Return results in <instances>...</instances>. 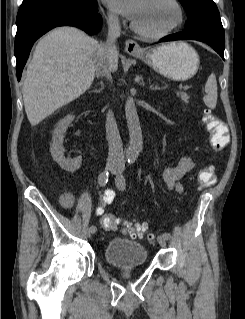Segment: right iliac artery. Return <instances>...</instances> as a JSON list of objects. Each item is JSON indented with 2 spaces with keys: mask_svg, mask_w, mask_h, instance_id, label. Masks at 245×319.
Listing matches in <instances>:
<instances>
[{
  "mask_svg": "<svg viewBox=\"0 0 245 319\" xmlns=\"http://www.w3.org/2000/svg\"><path fill=\"white\" fill-rule=\"evenodd\" d=\"M108 178H109V172L108 171H104L102 172L99 177H98V182L100 184V186H105L106 183L108 182ZM113 194V191H110V190H106L105 191V196H104V199H106L108 202H112L113 198H114V195ZM91 231L93 233H95L97 231L96 227L95 226H91L90 227Z\"/></svg>",
  "mask_w": 245,
  "mask_h": 319,
  "instance_id": "82829eb1",
  "label": "right iliac artery"
}]
</instances>
